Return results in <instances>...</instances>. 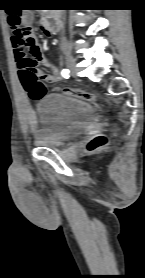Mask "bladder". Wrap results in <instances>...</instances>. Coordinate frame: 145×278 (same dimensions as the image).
I'll list each match as a JSON object with an SVG mask.
<instances>
[{
    "label": "bladder",
    "mask_w": 145,
    "mask_h": 278,
    "mask_svg": "<svg viewBox=\"0 0 145 278\" xmlns=\"http://www.w3.org/2000/svg\"><path fill=\"white\" fill-rule=\"evenodd\" d=\"M37 108L33 143L51 148L71 142L96 119L90 102L63 93L45 95Z\"/></svg>",
    "instance_id": "1"
}]
</instances>
